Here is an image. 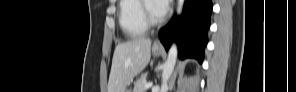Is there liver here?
<instances>
[{"mask_svg": "<svg viewBox=\"0 0 296 92\" xmlns=\"http://www.w3.org/2000/svg\"><path fill=\"white\" fill-rule=\"evenodd\" d=\"M151 39L136 37L116 46L108 92H123L150 61Z\"/></svg>", "mask_w": 296, "mask_h": 92, "instance_id": "1", "label": "liver"}]
</instances>
